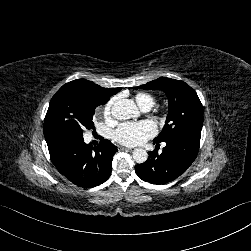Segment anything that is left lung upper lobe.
I'll use <instances>...</instances> for the list:
<instances>
[{"label":"left lung upper lobe","instance_id":"obj_1","mask_svg":"<svg viewBox=\"0 0 251 251\" xmlns=\"http://www.w3.org/2000/svg\"><path fill=\"white\" fill-rule=\"evenodd\" d=\"M162 90L169 102V111L164 128L154 142L161 143L177 136L200 140L203 125V107L196 92L185 82L160 77L134 87V89Z\"/></svg>","mask_w":251,"mask_h":251}]
</instances>
